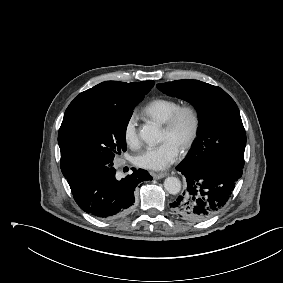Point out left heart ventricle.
I'll return each mask as SVG.
<instances>
[{
    "label": "left heart ventricle",
    "instance_id": "left-heart-ventricle-1",
    "mask_svg": "<svg viewBox=\"0 0 283 283\" xmlns=\"http://www.w3.org/2000/svg\"><path fill=\"white\" fill-rule=\"evenodd\" d=\"M190 128H191L190 119L188 117H184L182 119L179 127L177 128V130L174 133L170 134V133L166 132L165 130H163L161 141L162 142L171 141L180 148L182 143L187 138V136L190 132Z\"/></svg>",
    "mask_w": 283,
    "mask_h": 283
}]
</instances>
